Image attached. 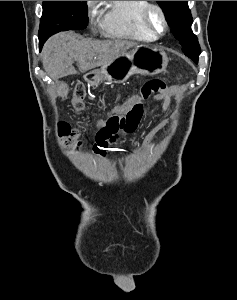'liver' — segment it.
I'll return each instance as SVG.
<instances>
[{
  "mask_svg": "<svg viewBox=\"0 0 237 300\" xmlns=\"http://www.w3.org/2000/svg\"><path fill=\"white\" fill-rule=\"evenodd\" d=\"M137 43L132 41H91L73 33H59L50 37L42 51L43 65L54 79L76 75L72 63H79L81 73L102 67L125 53Z\"/></svg>",
  "mask_w": 237,
  "mask_h": 300,
  "instance_id": "obj_1",
  "label": "liver"
}]
</instances>
